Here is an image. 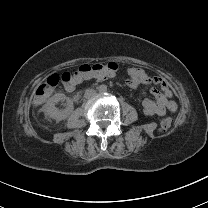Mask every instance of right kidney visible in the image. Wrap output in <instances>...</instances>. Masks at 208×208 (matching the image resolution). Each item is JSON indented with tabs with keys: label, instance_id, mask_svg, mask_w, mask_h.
<instances>
[{
	"label": "right kidney",
	"instance_id": "right-kidney-1",
	"mask_svg": "<svg viewBox=\"0 0 208 208\" xmlns=\"http://www.w3.org/2000/svg\"><path fill=\"white\" fill-rule=\"evenodd\" d=\"M63 100H65V95L63 93L54 94L44 105L45 114L56 121H64L67 119L73 111V104L69 103L66 110H59L55 107L58 102Z\"/></svg>",
	"mask_w": 208,
	"mask_h": 208
}]
</instances>
